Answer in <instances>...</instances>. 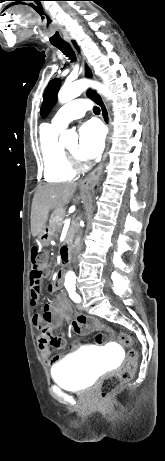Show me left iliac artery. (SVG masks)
<instances>
[{"mask_svg":"<svg viewBox=\"0 0 165 461\" xmlns=\"http://www.w3.org/2000/svg\"><path fill=\"white\" fill-rule=\"evenodd\" d=\"M67 290H68V292H69L70 298H71L74 302L79 303V302L81 301L80 296L75 292V287H74V286L67 287Z\"/></svg>","mask_w":165,"mask_h":461,"instance_id":"obj_1","label":"left iliac artery"}]
</instances>
